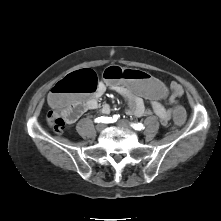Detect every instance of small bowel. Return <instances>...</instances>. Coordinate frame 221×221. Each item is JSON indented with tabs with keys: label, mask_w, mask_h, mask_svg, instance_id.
I'll use <instances>...</instances> for the list:
<instances>
[{
	"label": "small bowel",
	"mask_w": 221,
	"mask_h": 221,
	"mask_svg": "<svg viewBox=\"0 0 221 221\" xmlns=\"http://www.w3.org/2000/svg\"><path fill=\"white\" fill-rule=\"evenodd\" d=\"M108 89H111L127 100L128 104L125 109L126 114L136 117L155 114L163 125L168 124L170 121V109L174 105H179L178 99L183 94L182 86L177 82H172L169 86H166L167 92L162 98L164 99L168 97L171 107L168 108L164 106L160 102L162 99H159L154 101L149 100L151 107L150 109H147L144 103V99L147 98L136 95L131 88H126L123 84L111 85L101 81L98 83L97 88L93 93L82 95L76 100L78 108L71 114L70 124L75 122L85 111H94L99 109L102 114H109L111 108L108 104H104L101 108H99V100Z\"/></svg>",
	"instance_id": "obj_1"
}]
</instances>
